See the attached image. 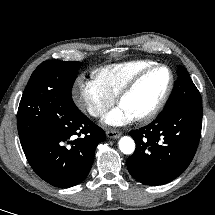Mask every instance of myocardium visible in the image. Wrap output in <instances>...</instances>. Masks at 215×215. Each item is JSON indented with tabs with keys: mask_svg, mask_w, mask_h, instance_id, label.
Returning a JSON list of instances; mask_svg holds the SVG:
<instances>
[{
	"mask_svg": "<svg viewBox=\"0 0 215 215\" xmlns=\"http://www.w3.org/2000/svg\"><path fill=\"white\" fill-rule=\"evenodd\" d=\"M166 69L169 73V82L168 85L164 91V93L162 94V96L160 97V99L158 100V102L155 104V106L148 111L147 113L138 116V117H134L133 120L137 123H148L150 121H152L164 108V106L166 105L172 90L174 88V83H175V79H174V74L173 71L171 70V68L165 64H161V63H154L146 68H144L143 70H141L140 72H138L137 74H135L120 90V92L117 95V101L120 104L122 102V100L128 96L135 88L136 86L152 71L156 70V69Z\"/></svg>",
	"mask_w": 215,
	"mask_h": 215,
	"instance_id": "f54148a6",
	"label": "myocardium"
}]
</instances>
